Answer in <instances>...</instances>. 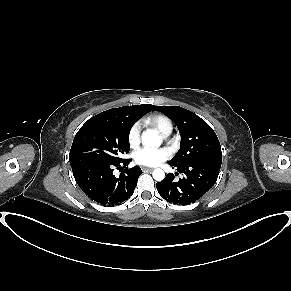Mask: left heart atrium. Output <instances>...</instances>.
<instances>
[{
	"label": "left heart atrium",
	"instance_id": "39dd6f15",
	"mask_svg": "<svg viewBox=\"0 0 291 291\" xmlns=\"http://www.w3.org/2000/svg\"><path fill=\"white\" fill-rule=\"evenodd\" d=\"M169 151L165 148L142 147L135 151L136 163L147 166H155L169 157Z\"/></svg>",
	"mask_w": 291,
	"mask_h": 291
}]
</instances>
